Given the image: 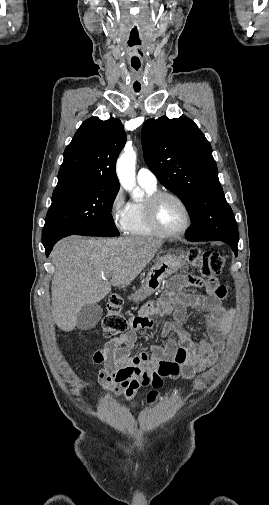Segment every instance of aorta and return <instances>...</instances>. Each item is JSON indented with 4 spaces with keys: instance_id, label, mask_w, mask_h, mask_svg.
Here are the masks:
<instances>
[{
    "instance_id": "762f6f07",
    "label": "aorta",
    "mask_w": 269,
    "mask_h": 505,
    "mask_svg": "<svg viewBox=\"0 0 269 505\" xmlns=\"http://www.w3.org/2000/svg\"><path fill=\"white\" fill-rule=\"evenodd\" d=\"M136 152L131 146H126L116 164V172L122 187L129 191L134 199L143 196V192L136 187L135 178Z\"/></svg>"
}]
</instances>
